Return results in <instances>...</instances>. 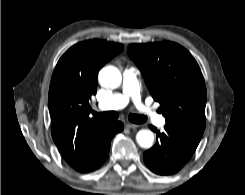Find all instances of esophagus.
<instances>
[{"instance_id":"esophagus-1","label":"esophagus","mask_w":245,"mask_h":195,"mask_svg":"<svg viewBox=\"0 0 245 195\" xmlns=\"http://www.w3.org/2000/svg\"><path fill=\"white\" fill-rule=\"evenodd\" d=\"M125 126H126V128H128V129H137V128L139 127L138 124H134V123H131V122H127V123L125 124Z\"/></svg>"}]
</instances>
